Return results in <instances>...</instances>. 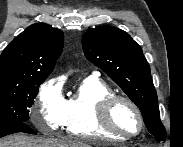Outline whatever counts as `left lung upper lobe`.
<instances>
[{
  "mask_svg": "<svg viewBox=\"0 0 183 147\" xmlns=\"http://www.w3.org/2000/svg\"><path fill=\"white\" fill-rule=\"evenodd\" d=\"M86 58L101 68L141 110L148 131L166 139L151 71L141 47L125 31L112 26L88 30L82 39Z\"/></svg>",
  "mask_w": 183,
  "mask_h": 147,
  "instance_id": "obj_1",
  "label": "left lung upper lobe"
}]
</instances>
